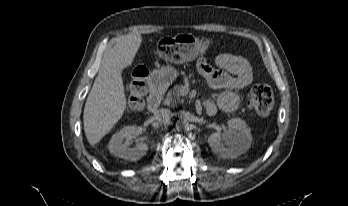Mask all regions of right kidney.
Returning a JSON list of instances; mask_svg holds the SVG:
<instances>
[{"instance_id": "right-kidney-1", "label": "right kidney", "mask_w": 348, "mask_h": 206, "mask_svg": "<svg viewBox=\"0 0 348 206\" xmlns=\"http://www.w3.org/2000/svg\"><path fill=\"white\" fill-rule=\"evenodd\" d=\"M138 135L136 126H125L112 136L109 141V151L120 158L136 161L143 157L148 151L146 143H137L134 147H129L128 140ZM126 140V141H125Z\"/></svg>"}]
</instances>
